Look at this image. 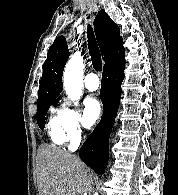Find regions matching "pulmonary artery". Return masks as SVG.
Listing matches in <instances>:
<instances>
[{
  "label": "pulmonary artery",
  "mask_w": 178,
  "mask_h": 195,
  "mask_svg": "<svg viewBox=\"0 0 178 195\" xmlns=\"http://www.w3.org/2000/svg\"><path fill=\"white\" fill-rule=\"evenodd\" d=\"M85 87L89 91H96L100 87V81L95 73H89L85 78Z\"/></svg>",
  "instance_id": "1"
}]
</instances>
